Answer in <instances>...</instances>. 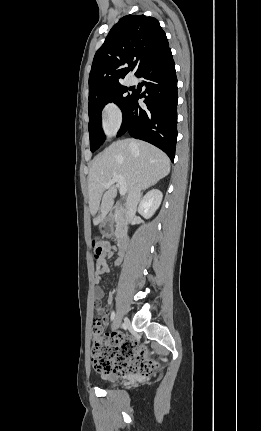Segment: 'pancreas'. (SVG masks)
<instances>
[{
    "mask_svg": "<svg viewBox=\"0 0 261 431\" xmlns=\"http://www.w3.org/2000/svg\"><path fill=\"white\" fill-rule=\"evenodd\" d=\"M115 222H116V233L115 235L118 237L122 228L126 223V216L122 210V208H117L114 214Z\"/></svg>",
    "mask_w": 261,
    "mask_h": 431,
    "instance_id": "pancreas-1",
    "label": "pancreas"
}]
</instances>
